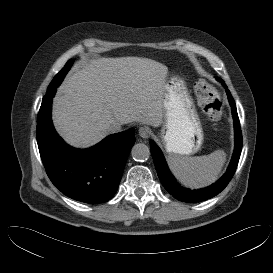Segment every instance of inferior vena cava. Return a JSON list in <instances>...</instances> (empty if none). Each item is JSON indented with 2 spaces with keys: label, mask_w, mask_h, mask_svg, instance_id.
<instances>
[{
  "label": "inferior vena cava",
  "mask_w": 273,
  "mask_h": 273,
  "mask_svg": "<svg viewBox=\"0 0 273 273\" xmlns=\"http://www.w3.org/2000/svg\"><path fill=\"white\" fill-rule=\"evenodd\" d=\"M121 130V125L119 123H114L109 127V132L110 133H116Z\"/></svg>",
  "instance_id": "obj_1"
}]
</instances>
